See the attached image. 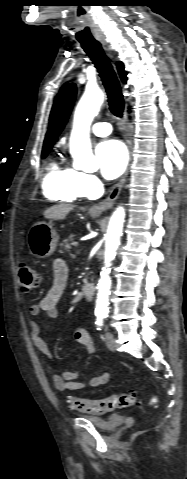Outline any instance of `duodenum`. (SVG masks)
<instances>
[{"label": "duodenum", "mask_w": 187, "mask_h": 479, "mask_svg": "<svg viewBox=\"0 0 187 479\" xmlns=\"http://www.w3.org/2000/svg\"><path fill=\"white\" fill-rule=\"evenodd\" d=\"M81 293L85 300L91 301L95 296V286L91 283H83Z\"/></svg>", "instance_id": "410a0bca"}]
</instances>
